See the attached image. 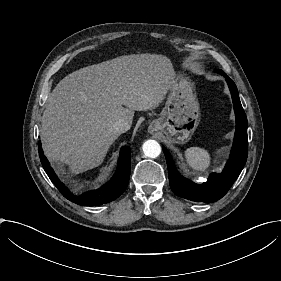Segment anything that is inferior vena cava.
<instances>
[{
	"mask_svg": "<svg viewBox=\"0 0 281 281\" xmlns=\"http://www.w3.org/2000/svg\"><path fill=\"white\" fill-rule=\"evenodd\" d=\"M114 129H116L120 133H125L128 131L131 127V124H129L127 121L123 119H119L116 121L113 125Z\"/></svg>",
	"mask_w": 281,
	"mask_h": 281,
	"instance_id": "inferior-vena-cava-1",
	"label": "inferior vena cava"
}]
</instances>
